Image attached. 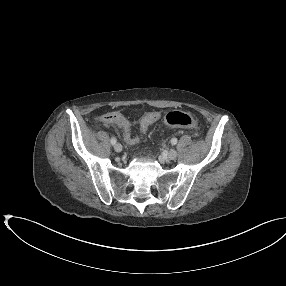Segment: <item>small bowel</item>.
I'll return each mask as SVG.
<instances>
[{
	"mask_svg": "<svg viewBox=\"0 0 286 286\" xmlns=\"http://www.w3.org/2000/svg\"><path fill=\"white\" fill-rule=\"evenodd\" d=\"M160 113L152 111L146 113L140 120V125L144 122L148 127L160 119ZM100 121L105 125H114L118 128L122 138L129 144L137 142L136 137L131 134V124L118 112H109L100 117Z\"/></svg>",
	"mask_w": 286,
	"mask_h": 286,
	"instance_id": "c3829d8e",
	"label": "small bowel"
}]
</instances>
